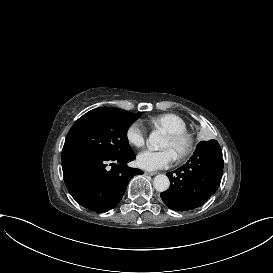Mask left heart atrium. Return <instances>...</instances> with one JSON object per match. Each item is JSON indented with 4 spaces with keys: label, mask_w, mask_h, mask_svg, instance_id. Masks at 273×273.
<instances>
[{
    "label": "left heart atrium",
    "mask_w": 273,
    "mask_h": 273,
    "mask_svg": "<svg viewBox=\"0 0 273 273\" xmlns=\"http://www.w3.org/2000/svg\"><path fill=\"white\" fill-rule=\"evenodd\" d=\"M174 160L175 154L168 147L160 150L147 148L138 154L137 165L141 169L153 171L168 167Z\"/></svg>",
    "instance_id": "left-heart-atrium-1"
}]
</instances>
